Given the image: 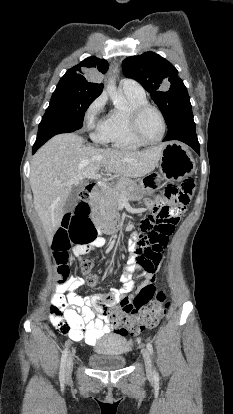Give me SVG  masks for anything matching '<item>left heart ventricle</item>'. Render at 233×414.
I'll return each mask as SVG.
<instances>
[{"instance_id": "1", "label": "left heart ventricle", "mask_w": 233, "mask_h": 414, "mask_svg": "<svg viewBox=\"0 0 233 414\" xmlns=\"http://www.w3.org/2000/svg\"><path fill=\"white\" fill-rule=\"evenodd\" d=\"M139 126L141 133L148 140H156L162 133L161 118L154 110H148L141 116Z\"/></svg>"}]
</instances>
